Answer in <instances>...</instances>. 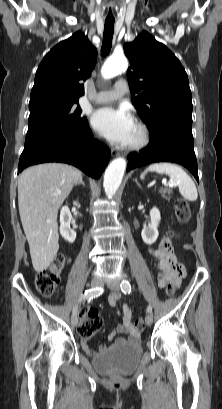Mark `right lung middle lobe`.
I'll return each instance as SVG.
<instances>
[{
    "label": "right lung middle lobe",
    "mask_w": 222,
    "mask_h": 409,
    "mask_svg": "<svg viewBox=\"0 0 222 409\" xmlns=\"http://www.w3.org/2000/svg\"><path fill=\"white\" fill-rule=\"evenodd\" d=\"M77 101L52 102L30 109L25 145L41 137L76 140L88 127Z\"/></svg>",
    "instance_id": "right-lung-middle-lobe-1"
}]
</instances>
